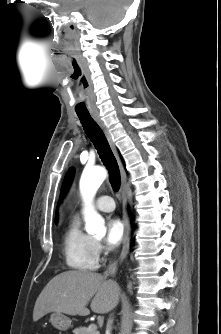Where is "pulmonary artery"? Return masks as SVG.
I'll list each match as a JSON object with an SVG mask.
<instances>
[{
    "mask_svg": "<svg viewBox=\"0 0 221 334\" xmlns=\"http://www.w3.org/2000/svg\"><path fill=\"white\" fill-rule=\"evenodd\" d=\"M115 206L114 199L109 195L100 196L96 201V208L103 212H111Z\"/></svg>",
    "mask_w": 221,
    "mask_h": 334,
    "instance_id": "obj_1",
    "label": "pulmonary artery"
}]
</instances>
